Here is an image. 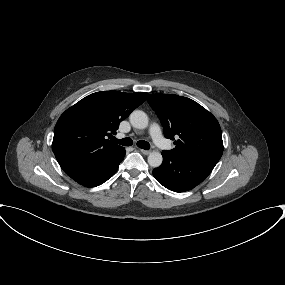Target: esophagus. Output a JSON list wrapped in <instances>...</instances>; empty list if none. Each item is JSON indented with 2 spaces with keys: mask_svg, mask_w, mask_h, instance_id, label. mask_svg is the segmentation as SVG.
<instances>
[{
  "mask_svg": "<svg viewBox=\"0 0 285 285\" xmlns=\"http://www.w3.org/2000/svg\"><path fill=\"white\" fill-rule=\"evenodd\" d=\"M140 152L144 155H148L150 153V150L140 149Z\"/></svg>",
  "mask_w": 285,
  "mask_h": 285,
  "instance_id": "34e87169",
  "label": "esophagus"
}]
</instances>
